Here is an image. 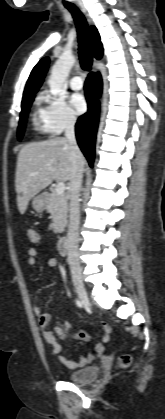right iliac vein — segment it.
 <instances>
[{
  "instance_id": "obj_1",
  "label": "right iliac vein",
  "mask_w": 165,
  "mask_h": 419,
  "mask_svg": "<svg viewBox=\"0 0 165 419\" xmlns=\"http://www.w3.org/2000/svg\"><path fill=\"white\" fill-rule=\"evenodd\" d=\"M73 284H74V288H75L79 298L83 302V304L89 305L88 293H87V290L85 288V285H84L83 281L80 278H74Z\"/></svg>"
}]
</instances>
